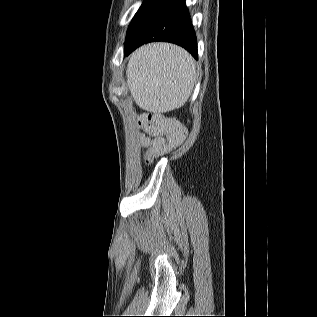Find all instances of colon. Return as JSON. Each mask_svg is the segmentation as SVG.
<instances>
[{
    "label": "colon",
    "instance_id": "obj_1",
    "mask_svg": "<svg viewBox=\"0 0 317 317\" xmlns=\"http://www.w3.org/2000/svg\"><path fill=\"white\" fill-rule=\"evenodd\" d=\"M139 125L154 137L147 159L164 155L177 148L185 138V129L180 122L157 113L141 115Z\"/></svg>",
    "mask_w": 317,
    "mask_h": 317
}]
</instances>
